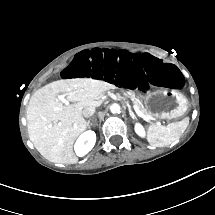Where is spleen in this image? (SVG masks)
Here are the masks:
<instances>
[{"label": "spleen", "instance_id": "spleen-1", "mask_svg": "<svg viewBox=\"0 0 215 215\" xmlns=\"http://www.w3.org/2000/svg\"><path fill=\"white\" fill-rule=\"evenodd\" d=\"M187 119L170 123L167 126L150 125L147 131V140L156 147L168 146L180 137V131Z\"/></svg>", "mask_w": 215, "mask_h": 215}]
</instances>
